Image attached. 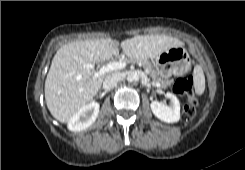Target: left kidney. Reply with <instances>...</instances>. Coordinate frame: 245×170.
<instances>
[{"label":"left kidney","instance_id":"5707ae66","mask_svg":"<svg viewBox=\"0 0 245 170\" xmlns=\"http://www.w3.org/2000/svg\"><path fill=\"white\" fill-rule=\"evenodd\" d=\"M166 97L170 99L171 105L167 106L162 102L153 101L150 104L153 114L160 120L167 123H175L180 120V103L178 98L170 93H166Z\"/></svg>","mask_w":245,"mask_h":170}]
</instances>
